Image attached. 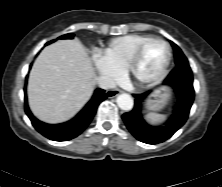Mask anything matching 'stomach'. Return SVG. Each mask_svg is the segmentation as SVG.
<instances>
[{
    "label": "stomach",
    "instance_id": "0dacf381",
    "mask_svg": "<svg viewBox=\"0 0 222 187\" xmlns=\"http://www.w3.org/2000/svg\"><path fill=\"white\" fill-rule=\"evenodd\" d=\"M169 98V90L165 88L159 89L146 100V108L152 112L161 111L168 105Z\"/></svg>",
    "mask_w": 222,
    "mask_h": 187
}]
</instances>
